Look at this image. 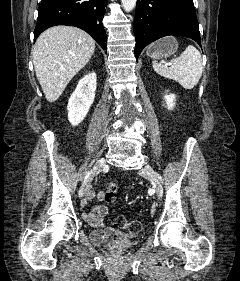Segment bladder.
<instances>
[{
    "mask_svg": "<svg viewBox=\"0 0 240 281\" xmlns=\"http://www.w3.org/2000/svg\"><path fill=\"white\" fill-rule=\"evenodd\" d=\"M90 238L97 245H109L116 243L122 247L133 245L138 239L136 234H123L107 229L94 230L90 233Z\"/></svg>",
    "mask_w": 240,
    "mask_h": 281,
    "instance_id": "obj_1",
    "label": "bladder"
}]
</instances>
